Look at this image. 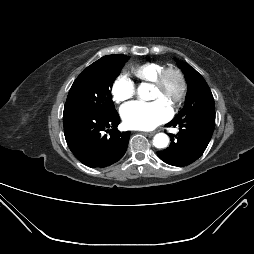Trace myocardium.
Masks as SVG:
<instances>
[{"label": "myocardium", "mask_w": 254, "mask_h": 254, "mask_svg": "<svg viewBox=\"0 0 254 254\" xmlns=\"http://www.w3.org/2000/svg\"><path fill=\"white\" fill-rule=\"evenodd\" d=\"M168 75H173L178 82V92L172 104V111L179 107L184 101L187 93V82L183 72L173 66L163 67L152 82L154 88L163 89Z\"/></svg>", "instance_id": "myocardium-1"}]
</instances>
